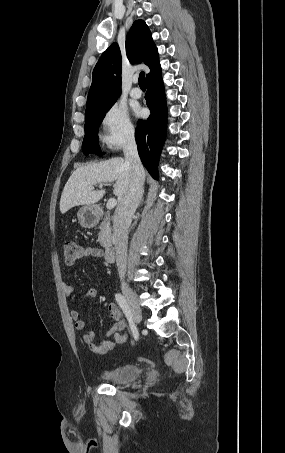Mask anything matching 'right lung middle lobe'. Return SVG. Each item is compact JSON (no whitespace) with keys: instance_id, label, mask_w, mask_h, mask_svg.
I'll use <instances>...</instances> for the list:
<instances>
[{"instance_id":"obj_1","label":"right lung middle lobe","mask_w":285,"mask_h":453,"mask_svg":"<svg viewBox=\"0 0 285 453\" xmlns=\"http://www.w3.org/2000/svg\"><path fill=\"white\" fill-rule=\"evenodd\" d=\"M115 102L101 109L85 114V136L82 143V149L85 155L91 153H96L99 156L102 155L98 144L97 131L100 123L105 117V114Z\"/></svg>"}]
</instances>
